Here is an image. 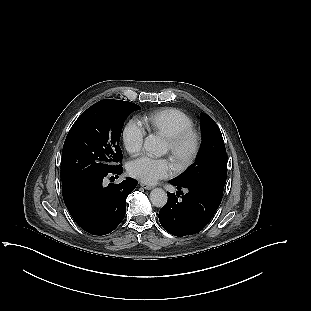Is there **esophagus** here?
Wrapping results in <instances>:
<instances>
[{"mask_svg":"<svg viewBox=\"0 0 311 311\" xmlns=\"http://www.w3.org/2000/svg\"><path fill=\"white\" fill-rule=\"evenodd\" d=\"M140 186L146 190H151L153 188V186L145 184V183H140Z\"/></svg>","mask_w":311,"mask_h":311,"instance_id":"1","label":"esophagus"}]
</instances>
